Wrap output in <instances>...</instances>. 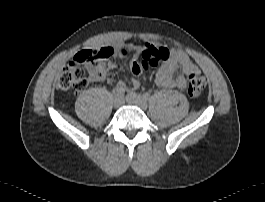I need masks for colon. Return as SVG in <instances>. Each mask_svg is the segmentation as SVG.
Segmentation results:
<instances>
[{"label":"colon","mask_w":265,"mask_h":202,"mask_svg":"<svg viewBox=\"0 0 265 202\" xmlns=\"http://www.w3.org/2000/svg\"><path fill=\"white\" fill-rule=\"evenodd\" d=\"M111 50L106 48H89L79 51L62 70L58 78V85L63 90L81 91L87 85L86 65L97 63L99 59L112 56ZM170 51L162 47L147 46L141 57L136 59L132 64V72L139 76L150 66H156L160 61L169 59ZM206 85V81L199 73L191 74L188 78V94L193 97H199Z\"/></svg>","instance_id":"5ec220e1"}]
</instances>
